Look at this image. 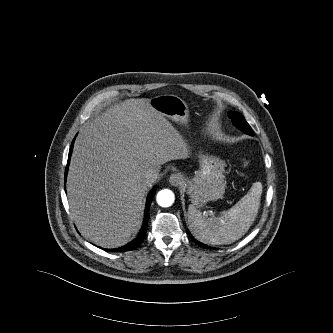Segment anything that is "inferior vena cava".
<instances>
[{
	"mask_svg": "<svg viewBox=\"0 0 333 333\" xmlns=\"http://www.w3.org/2000/svg\"><path fill=\"white\" fill-rule=\"evenodd\" d=\"M159 172V167L149 169L146 173V184L151 185L152 183H154L160 176Z\"/></svg>",
	"mask_w": 333,
	"mask_h": 333,
	"instance_id": "obj_1",
	"label": "inferior vena cava"
}]
</instances>
